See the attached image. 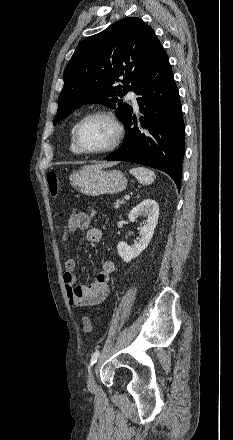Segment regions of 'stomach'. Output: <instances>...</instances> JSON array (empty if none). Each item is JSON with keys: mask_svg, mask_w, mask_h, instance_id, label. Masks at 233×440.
<instances>
[{"mask_svg": "<svg viewBox=\"0 0 233 440\" xmlns=\"http://www.w3.org/2000/svg\"><path fill=\"white\" fill-rule=\"evenodd\" d=\"M69 180L75 189L88 196L117 194L127 186L126 177L121 171H104L91 166L73 172Z\"/></svg>", "mask_w": 233, "mask_h": 440, "instance_id": "1", "label": "stomach"}]
</instances>
